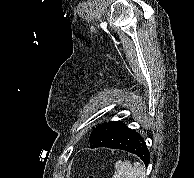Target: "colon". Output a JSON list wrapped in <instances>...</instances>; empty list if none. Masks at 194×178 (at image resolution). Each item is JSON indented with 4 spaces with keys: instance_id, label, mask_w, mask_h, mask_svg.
<instances>
[{
    "instance_id": "obj_1",
    "label": "colon",
    "mask_w": 194,
    "mask_h": 178,
    "mask_svg": "<svg viewBox=\"0 0 194 178\" xmlns=\"http://www.w3.org/2000/svg\"><path fill=\"white\" fill-rule=\"evenodd\" d=\"M84 178H95V177L92 175L84 174Z\"/></svg>"
}]
</instances>
